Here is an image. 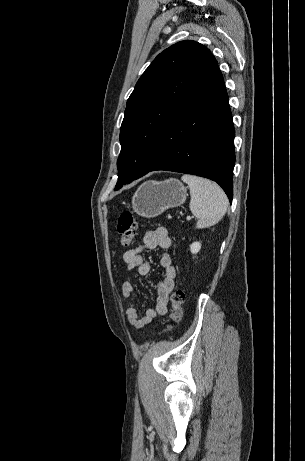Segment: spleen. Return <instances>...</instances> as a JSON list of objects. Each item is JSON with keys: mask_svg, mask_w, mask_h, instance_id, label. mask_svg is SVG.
<instances>
[{"mask_svg": "<svg viewBox=\"0 0 305 461\" xmlns=\"http://www.w3.org/2000/svg\"><path fill=\"white\" fill-rule=\"evenodd\" d=\"M190 190V211L197 218L196 228L217 224L225 215L228 198L220 186L208 179L185 174L181 178Z\"/></svg>", "mask_w": 305, "mask_h": 461, "instance_id": "spleen-1", "label": "spleen"}]
</instances>
